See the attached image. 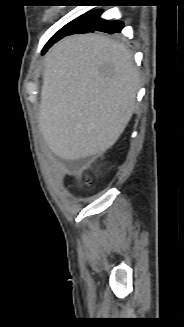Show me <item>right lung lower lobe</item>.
Instances as JSON below:
<instances>
[{"mask_svg": "<svg viewBox=\"0 0 184 327\" xmlns=\"http://www.w3.org/2000/svg\"><path fill=\"white\" fill-rule=\"evenodd\" d=\"M101 14L102 11L100 10H95L86 13L83 19L64 36L77 34V33L94 32V31L107 32L109 34L121 32L124 25L123 22L109 21V20L102 19Z\"/></svg>", "mask_w": 184, "mask_h": 327, "instance_id": "right-lung-lower-lobe-1", "label": "right lung lower lobe"}]
</instances>
